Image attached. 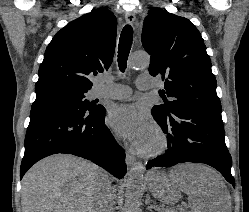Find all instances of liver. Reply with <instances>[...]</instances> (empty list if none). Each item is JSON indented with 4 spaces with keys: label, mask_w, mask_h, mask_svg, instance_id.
<instances>
[{
    "label": "liver",
    "mask_w": 249,
    "mask_h": 212,
    "mask_svg": "<svg viewBox=\"0 0 249 212\" xmlns=\"http://www.w3.org/2000/svg\"><path fill=\"white\" fill-rule=\"evenodd\" d=\"M100 168L70 154H55L34 164L22 178V212H92ZM148 190L163 204H177L181 192L192 212H231L222 176L202 164H178L169 176L146 174Z\"/></svg>",
    "instance_id": "6515ba94"
}]
</instances>
